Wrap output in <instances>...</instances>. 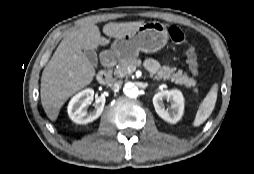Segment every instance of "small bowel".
Segmentation results:
<instances>
[{"mask_svg":"<svg viewBox=\"0 0 254 174\" xmlns=\"http://www.w3.org/2000/svg\"><path fill=\"white\" fill-rule=\"evenodd\" d=\"M145 66L151 72H156L159 69V64L154 59H147L145 61Z\"/></svg>","mask_w":254,"mask_h":174,"instance_id":"obj_1","label":"small bowel"}]
</instances>
